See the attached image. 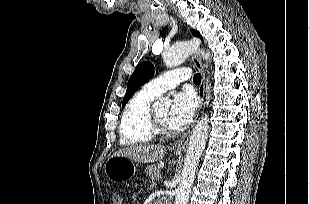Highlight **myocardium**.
<instances>
[{"label":"myocardium","instance_id":"1","mask_svg":"<svg viewBox=\"0 0 309 204\" xmlns=\"http://www.w3.org/2000/svg\"><path fill=\"white\" fill-rule=\"evenodd\" d=\"M149 123L156 134H165L170 131V129L167 126L163 125L159 121L153 109H150L149 112Z\"/></svg>","mask_w":309,"mask_h":204}]
</instances>
